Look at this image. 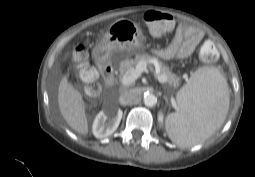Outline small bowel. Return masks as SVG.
<instances>
[{
    "instance_id": "obj_1",
    "label": "small bowel",
    "mask_w": 255,
    "mask_h": 177,
    "mask_svg": "<svg viewBox=\"0 0 255 177\" xmlns=\"http://www.w3.org/2000/svg\"><path fill=\"white\" fill-rule=\"evenodd\" d=\"M203 38L204 32L200 28L179 25L169 45L156 49L155 53L164 59L187 58L202 42Z\"/></svg>"
}]
</instances>
